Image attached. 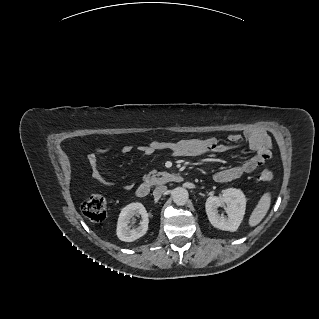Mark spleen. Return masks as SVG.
Wrapping results in <instances>:
<instances>
[{
	"label": "spleen",
	"mask_w": 319,
	"mask_h": 319,
	"mask_svg": "<svg viewBox=\"0 0 319 319\" xmlns=\"http://www.w3.org/2000/svg\"><path fill=\"white\" fill-rule=\"evenodd\" d=\"M271 204L270 193L266 192L260 198L257 206L253 210L249 218V225L254 227L258 225L262 219L266 216Z\"/></svg>",
	"instance_id": "1"
}]
</instances>
